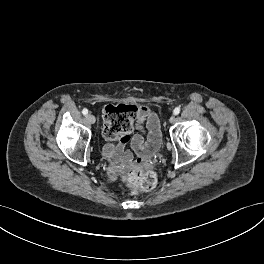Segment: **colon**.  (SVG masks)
Wrapping results in <instances>:
<instances>
[{
    "label": "colon",
    "mask_w": 264,
    "mask_h": 264,
    "mask_svg": "<svg viewBox=\"0 0 264 264\" xmlns=\"http://www.w3.org/2000/svg\"><path fill=\"white\" fill-rule=\"evenodd\" d=\"M137 108L130 104L108 105L104 111L106 125L103 135L112 139L132 132ZM120 179L133 193L146 192L157 185V177L152 171L139 166L125 168L120 173Z\"/></svg>",
    "instance_id": "5ec220e1"
}]
</instances>
